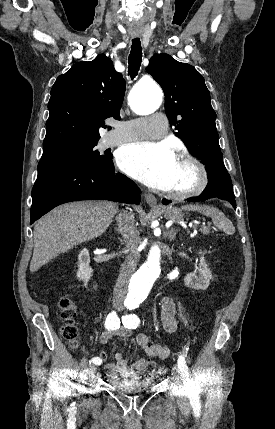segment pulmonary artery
I'll return each instance as SVG.
<instances>
[{
	"mask_svg": "<svg viewBox=\"0 0 275 429\" xmlns=\"http://www.w3.org/2000/svg\"><path fill=\"white\" fill-rule=\"evenodd\" d=\"M167 132V121L163 114L122 121L115 124V129L106 137V145H116L127 141L144 138H161Z\"/></svg>",
	"mask_w": 275,
	"mask_h": 429,
	"instance_id": "obj_1",
	"label": "pulmonary artery"
}]
</instances>
